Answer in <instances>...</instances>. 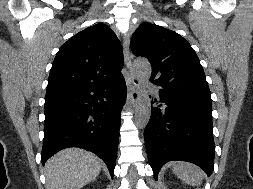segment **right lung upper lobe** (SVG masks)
I'll return each instance as SVG.
<instances>
[{"label": "right lung upper lobe", "mask_w": 253, "mask_h": 189, "mask_svg": "<svg viewBox=\"0 0 253 189\" xmlns=\"http://www.w3.org/2000/svg\"><path fill=\"white\" fill-rule=\"evenodd\" d=\"M123 50L115 33L98 23L71 37L58 51L47 91L110 82L121 76Z\"/></svg>", "instance_id": "1"}]
</instances>
